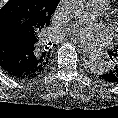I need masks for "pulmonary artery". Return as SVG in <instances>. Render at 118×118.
Here are the masks:
<instances>
[{
	"label": "pulmonary artery",
	"instance_id": "pulmonary-artery-1",
	"mask_svg": "<svg viewBox=\"0 0 118 118\" xmlns=\"http://www.w3.org/2000/svg\"><path fill=\"white\" fill-rule=\"evenodd\" d=\"M107 8L105 4L100 0H88L86 5V15L87 16H99L105 12Z\"/></svg>",
	"mask_w": 118,
	"mask_h": 118
}]
</instances>
